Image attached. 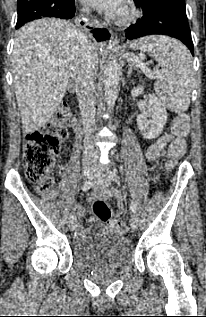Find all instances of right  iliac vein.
<instances>
[{"label": "right iliac vein", "instance_id": "63e3f726", "mask_svg": "<svg viewBox=\"0 0 206 317\" xmlns=\"http://www.w3.org/2000/svg\"><path fill=\"white\" fill-rule=\"evenodd\" d=\"M93 174H94V172H93L92 170H87V171L84 173L86 179H91V178L93 177ZM76 226H77V225H76V221L73 220V221H71L70 224H69V229H70L71 231H75V230H76Z\"/></svg>", "mask_w": 206, "mask_h": 317}]
</instances>
